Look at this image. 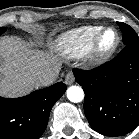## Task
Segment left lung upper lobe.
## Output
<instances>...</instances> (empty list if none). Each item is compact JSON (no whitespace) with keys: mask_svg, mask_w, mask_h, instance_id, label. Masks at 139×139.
Instances as JSON below:
<instances>
[{"mask_svg":"<svg viewBox=\"0 0 139 139\" xmlns=\"http://www.w3.org/2000/svg\"><path fill=\"white\" fill-rule=\"evenodd\" d=\"M120 29L123 33V43L125 45L132 43V42H139V37L136 32L127 24L118 22Z\"/></svg>","mask_w":139,"mask_h":139,"instance_id":"1","label":"left lung upper lobe"}]
</instances>
